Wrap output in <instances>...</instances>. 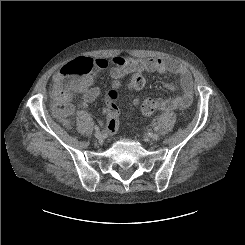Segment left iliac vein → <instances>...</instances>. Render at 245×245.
<instances>
[{
	"mask_svg": "<svg viewBox=\"0 0 245 245\" xmlns=\"http://www.w3.org/2000/svg\"><path fill=\"white\" fill-rule=\"evenodd\" d=\"M150 138H151L152 140H154V141H157V140L159 139V134L154 133V134H152V135L150 136Z\"/></svg>",
	"mask_w": 245,
	"mask_h": 245,
	"instance_id": "obj_1",
	"label": "left iliac vein"
}]
</instances>
